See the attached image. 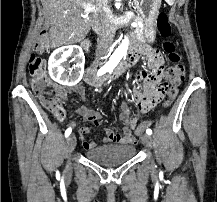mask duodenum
Instances as JSON below:
<instances>
[{
  "label": "duodenum",
  "mask_w": 217,
  "mask_h": 202,
  "mask_svg": "<svg viewBox=\"0 0 217 202\" xmlns=\"http://www.w3.org/2000/svg\"><path fill=\"white\" fill-rule=\"evenodd\" d=\"M138 45L139 43L134 42L125 62L119 65L115 70L105 73L103 76L96 75V72L94 69H88L84 77L85 82L91 86L100 87L106 82L122 76L126 71H128L131 67H133L134 64L137 62L138 57H139V46Z\"/></svg>",
  "instance_id": "duodenum-1"
}]
</instances>
